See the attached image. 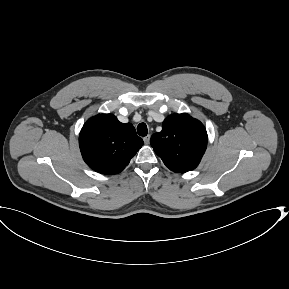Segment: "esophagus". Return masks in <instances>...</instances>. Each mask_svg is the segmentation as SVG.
<instances>
[{"mask_svg": "<svg viewBox=\"0 0 289 289\" xmlns=\"http://www.w3.org/2000/svg\"><path fill=\"white\" fill-rule=\"evenodd\" d=\"M144 143L147 145L150 142V135H147L143 138Z\"/></svg>", "mask_w": 289, "mask_h": 289, "instance_id": "obj_1", "label": "esophagus"}]
</instances>
